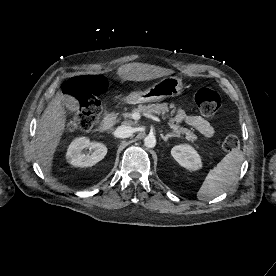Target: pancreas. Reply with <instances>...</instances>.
I'll use <instances>...</instances> for the list:
<instances>
[{
    "mask_svg": "<svg viewBox=\"0 0 276 276\" xmlns=\"http://www.w3.org/2000/svg\"><path fill=\"white\" fill-rule=\"evenodd\" d=\"M170 108H174V106L173 105L168 106L167 103L149 104L147 106L139 105L137 108H133L131 112L122 113V116L125 119H131L134 113H154L157 115H165L167 112H169ZM127 124H133V122L128 120ZM168 125L173 130V132L179 137L181 134L185 135L186 140L190 142H194L197 139L196 135L192 132V130L181 127L178 123H175L173 119L170 120Z\"/></svg>",
    "mask_w": 276,
    "mask_h": 276,
    "instance_id": "cf45deb5",
    "label": "pancreas"
}]
</instances>
